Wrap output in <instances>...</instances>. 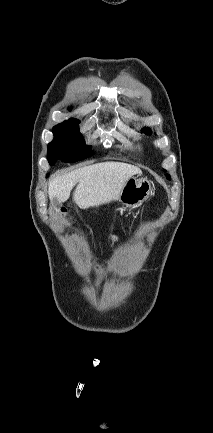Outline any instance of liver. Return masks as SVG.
I'll list each match as a JSON object with an SVG mask.
<instances>
[{
  "instance_id": "6515ba94",
  "label": "liver",
  "mask_w": 213,
  "mask_h": 433,
  "mask_svg": "<svg viewBox=\"0 0 213 433\" xmlns=\"http://www.w3.org/2000/svg\"><path fill=\"white\" fill-rule=\"evenodd\" d=\"M140 172L139 168L120 162L86 166L53 177L49 182V198L65 202L78 184L73 196L75 203L83 209L97 207L117 199L126 181Z\"/></svg>"
}]
</instances>
